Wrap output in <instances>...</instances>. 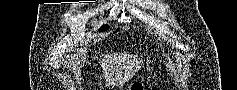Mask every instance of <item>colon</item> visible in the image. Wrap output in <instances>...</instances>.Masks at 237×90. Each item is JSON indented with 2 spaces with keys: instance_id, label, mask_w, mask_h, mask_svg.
Masks as SVG:
<instances>
[{
  "instance_id": "obj_1",
  "label": "colon",
  "mask_w": 237,
  "mask_h": 90,
  "mask_svg": "<svg viewBox=\"0 0 237 90\" xmlns=\"http://www.w3.org/2000/svg\"><path fill=\"white\" fill-rule=\"evenodd\" d=\"M147 89H149L148 86H146L143 83H135L130 88V90H147Z\"/></svg>"
}]
</instances>
